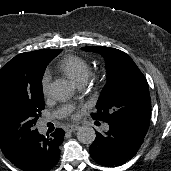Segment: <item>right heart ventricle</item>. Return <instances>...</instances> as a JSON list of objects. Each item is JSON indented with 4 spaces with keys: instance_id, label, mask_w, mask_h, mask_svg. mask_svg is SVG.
Instances as JSON below:
<instances>
[{
    "instance_id": "obj_1",
    "label": "right heart ventricle",
    "mask_w": 171,
    "mask_h": 171,
    "mask_svg": "<svg viewBox=\"0 0 171 171\" xmlns=\"http://www.w3.org/2000/svg\"><path fill=\"white\" fill-rule=\"evenodd\" d=\"M59 69L77 84L87 80L90 66L87 61L76 55H68L59 63Z\"/></svg>"
}]
</instances>
